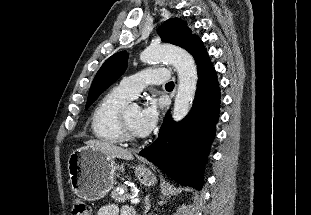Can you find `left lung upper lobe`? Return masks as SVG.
Here are the masks:
<instances>
[{
    "label": "left lung upper lobe",
    "mask_w": 311,
    "mask_h": 215,
    "mask_svg": "<svg viewBox=\"0 0 311 215\" xmlns=\"http://www.w3.org/2000/svg\"><path fill=\"white\" fill-rule=\"evenodd\" d=\"M163 42H168L188 50L190 45L198 38L191 34L186 23L178 18L168 19L158 29ZM127 53L122 51L108 58L97 72L86 104L88 108L98 96L115 82L126 70Z\"/></svg>",
    "instance_id": "1"
}]
</instances>
